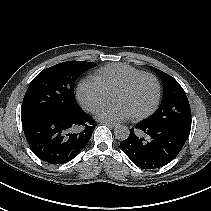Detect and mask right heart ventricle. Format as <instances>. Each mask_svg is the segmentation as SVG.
Returning a JSON list of instances; mask_svg holds the SVG:
<instances>
[{
	"instance_id": "1",
	"label": "right heart ventricle",
	"mask_w": 211,
	"mask_h": 211,
	"mask_svg": "<svg viewBox=\"0 0 211 211\" xmlns=\"http://www.w3.org/2000/svg\"><path fill=\"white\" fill-rule=\"evenodd\" d=\"M142 73L145 72L130 65L111 64L101 68L95 78L112 94L117 87Z\"/></svg>"
}]
</instances>
